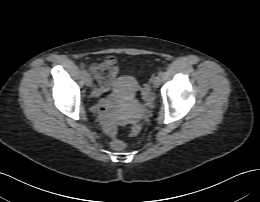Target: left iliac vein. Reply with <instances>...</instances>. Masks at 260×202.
Wrapping results in <instances>:
<instances>
[{
	"label": "left iliac vein",
	"instance_id": "left-iliac-vein-1",
	"mask_svg": "<svg viewBox=\"0 0 260 202\" xmlns=\"http://www.w3.org/2000/svg\"><path fill=\"white\" fill-rule=\"evenodd\" d=\"M161 84V77L160 76H155L154 79H153V86L155 88L159 87Z\"/></svg>",
	"mask_w": 260,
	"mask_h": 202
}]
</instances>
